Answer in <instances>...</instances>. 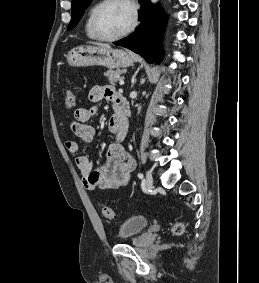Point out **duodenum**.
I'll return each mask as SVG.
<instances>
[{"label": "duodenum", "mask_w": 259, "mask_h": 283, "mask_svg": "<svg viewBox=\"0 0 259 283\" xmlns=\"http://www.w3.org/2000/svg\"><path fill=\"white\" fill-rule=\"evenodd\" d=\"M116 119L120 126L128 125V108L125 99L119 95L116 101Z\"/></svg>", "instance_id": "duodenum-1"}]
</instances>
